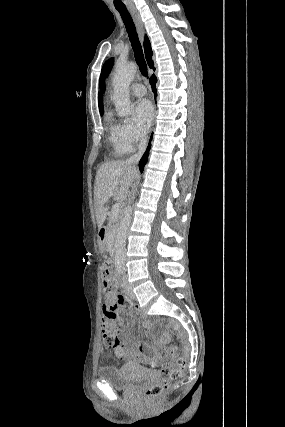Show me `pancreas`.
Wrapping results in <instances>:
<instances>
[{
  "label": "pancreas",
  "instance_id": "obj_1",
  "mask_svg": "<svg viewBox=\"0 0 285 427\" xmlns=\"http://www.w3.org/2000/svg\"><path fill=\"white\" fill-rule=\"evenodd\" d=\"M117 230L116 219L111 215L108 225V240L112 241Z\"/></svg>",
  "mask_w": 285,
  "mask_h": 427
}]
</instances>
